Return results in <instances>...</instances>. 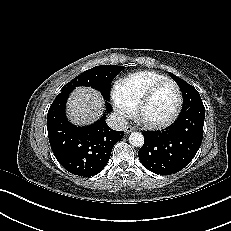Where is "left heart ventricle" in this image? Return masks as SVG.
<instances>
[{
	"label": "left heart ventricle",
	"mask_w": 231,
	"mask_h": 231,
	"mask_svg": "<svg viewBox=\"0 0 231 231\" xmlns=\"http://www.w3.org/2000/svg\"><path fill=\"white\" fill-rule=\"evenodd\" d=\"M177 94L172 84L160 86L150 97L142 110V117L154 122L163 121L173 112Z\"/></svg>",
	"instance_id": "b2bd125f"
}]
</instances>
